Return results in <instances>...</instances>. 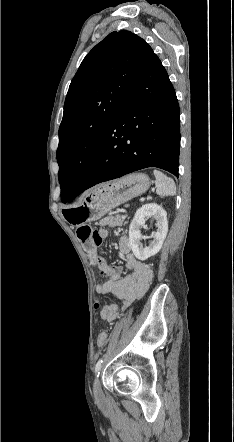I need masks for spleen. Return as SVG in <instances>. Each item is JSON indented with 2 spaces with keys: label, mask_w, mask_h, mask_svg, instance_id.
Masks as SVG:
<instances>
[{
  "label": "spleen",
  "mask_w": 234,
  "mask_h": 442,
  "mask_svg": "<svg viewBox=\"0 0 234 442\" xmlns=\"http://www.w3.org/2000/svg\"><path fill=\"white\" fill-rule=\"evenodd\" d=\"M156 193L159 196H174L176 194V186L170 177L166 176L163 172L154 169Z\"/></svg>",
  "instance_id": "3e777b00"
}]
</instances>
